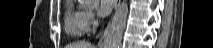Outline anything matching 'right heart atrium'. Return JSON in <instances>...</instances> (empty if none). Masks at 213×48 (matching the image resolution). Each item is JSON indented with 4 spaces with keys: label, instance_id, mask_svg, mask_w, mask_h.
Segmentation results:
<instances>
[{
    "label": "right heart atrium",
    "instance_id": "d8ad5b80",
    "mask_svg": "<svg viewBox=\"0 0 213 48\" xmlns=\"http://www.w3.org/2000/svg\"><path fill=\"white\" fill-rule=\"evenodd\" d=\"M84 22L89 30L95 22L94 14L92 11H86L84 13Z\"/></svg>",
    "mask_w": 213,
    "mask_h": 48
}]
</instances>
